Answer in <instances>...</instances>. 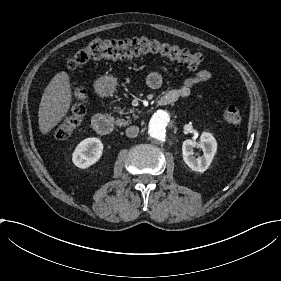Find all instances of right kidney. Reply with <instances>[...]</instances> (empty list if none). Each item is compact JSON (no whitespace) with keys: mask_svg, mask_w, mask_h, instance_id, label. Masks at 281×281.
I'll use <instances>...</instances> for the list:
<instances>
[{"mask_svg":"<svg viewBox=\"0 0 281 281\" xmlns=\"http://www.w3.org/2000/svg\"><path fill=\"white\" fill-rule=\"evenodd\" d=\"M103 151V144L98 138H87L81 141L72 155L73 163L79 168H87L96 163Z\"/></svg>","mask_w":281,"mask_h":281,"instance_id":"1","label":"right kidney"}]
</instances>
